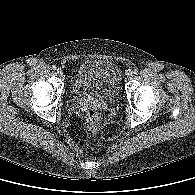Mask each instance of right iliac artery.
Returning <instances> with one entry per match:
<instances>
[{
  "label": "right iliac artery",
  "mask_w": 195,
  "mask_h": 195,
  "mask_svg": "<svg viewBox=\"0 0 195 195\" xmlns=\"http://www.w3.org/2000/svg\"><path fill=\"white\" fill-rule=\"evenodd\" d=\"M52 69H53V70H56V69H57V67H56V66H52Z\"/></svg>",
  "instance_id": "obj_1"
}]
</instances>
